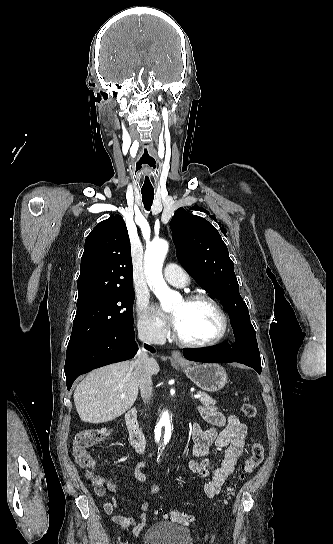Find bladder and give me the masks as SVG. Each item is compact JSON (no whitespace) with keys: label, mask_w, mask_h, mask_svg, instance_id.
Instances as JSON below:
<instances>
[{"label":"bladder","mask_w":333,"mask_h":544,"mask_svg":"<svg viewBox=\"0 0 333 544\" xmlns=\"http://www.w3.org/2000/svg\"><path fill=\"white\" fill-rule=\"evenodd\" d=\"M142 544H193L189 530L178 524L157 522L143 534Z\"/></svg>","instance_id":"obj_1"}]
</instances>
